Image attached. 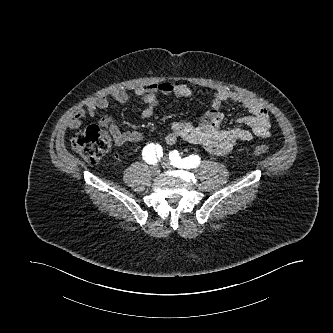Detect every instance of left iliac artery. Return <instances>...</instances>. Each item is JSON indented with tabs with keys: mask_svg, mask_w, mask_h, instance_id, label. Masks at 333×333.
I'll list each match as a JSON object with an SVG mask.
<instances>
[{
	"mask_svg": "<svg viewBox=\"0 0 333 333\" xmlns=\"http://www.w3.org/2000/svg\"><path fill=\"white\" fill-rule=\"evenodd\" d=\"M169 159L173 166L178 168H195L201 162V159L198 155H191L186 158H181L178 151L174 150L170 152Z\"/></svg>",
	"mask_w": 333,
	"mask_h": 333,
	"instance_id": "obj_1",
	"label": "left iliac artery"
}]
</instances>
